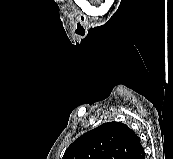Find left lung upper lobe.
<instances>
[{
    "mask_svg": "<svg viewBox=\"0 0 173 159\" xmlns=\"http://www.w3.org/2000/svg\"><path fill=\"white\" fill-rule=\"evenodd\" d=\"M140 138L127 125L108 122L77 138L62 159H134Z\"/></svg>",
    "mask_w": 173,
    "mask_h": 159,
    "instance_id": "1",
    "label": "left lung upper lobe"
}]
</instances>
